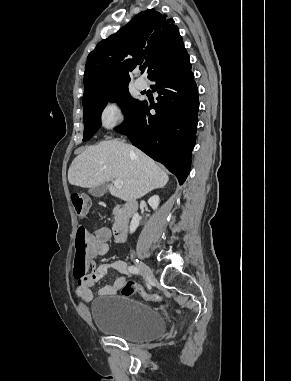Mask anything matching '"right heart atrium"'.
<instances>
[{"mask_svg":"<svg viewBox=\"0 0 291 381\" xmlns=\"http://www.w3.org/2000/svg\"><path fill=\"white\" fill-rule=\"evenodd\" d=\"M126 119L124 105L120 101L109 102L102 110L100 120L105 128H113Z\"/></svg>","mask_w":291,"mask_h":381,"instance_id":"obj_1","label":"right heart atrium"}]
</instances>
